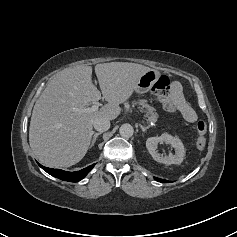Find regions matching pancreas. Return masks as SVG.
Returning <instances> with one entry per match:
<instances>
[{
	"instance_id": "pancreas-1",
	"label": "pancreas",
	"mask_w": 237,
	"mask_h": 237,
	"mask_svg": "<svg viewBox=\"0 0 237 237\" xmlns=\"http://www.w3.org/2000/svg\"><path fill=\"white\" fill-rule=\"evenodd\" d=\"M138 105L142 112H145V117L149 122H156L158 114L155 112V108L150 106L146 100L141 99L133 102V106Z\"/></svg>"
}]
</instances>
